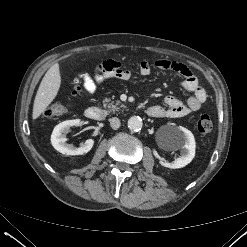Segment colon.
Here are the masks:
<instances>
[{
  "label": "colon",
  "instance_id": "colon-1",
  "mask_svg": "<svg viewBox=\"0 0 247 247\" xmlns=\"http://www.w3.org/2000/svg\"><path fill=\"white\" fill-rule=\"evenodd\" d=\"M81 88L79 86V83L76 82L75 88H74V94H78L80 92ZM67 111V106L61 103H54L48 106L45 109L44 114L47 117H55L64 114ZM196 128L198 132L201 134H207L209 133L213 128V123L211 118L207 114L201 115L196 123Z\"/></svg>",
  "mask_w": 247,
  "mask_h": 247
}]
</instances>
